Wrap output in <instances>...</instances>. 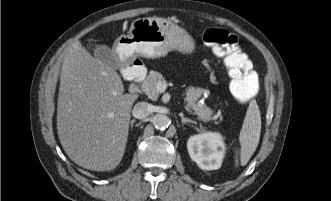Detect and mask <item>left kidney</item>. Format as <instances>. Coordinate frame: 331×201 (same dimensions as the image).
<instances>
[{
	"label": "left kidney",
	"instance_id": "1",
	"mask_svg": "<svg viewBox=\"0 0 331 201\" xmlns=\"http://www.w3.org/2000/svg\"><path fill=\"white\" fill-rule=\"evenodd\" d=\"M187 149L193 161L203 170L221 167L225 155V144L219 132H208L191 136Z\"/></svg>",
	"mask_w": 331,
	"mask_h": 201
}]
</instances>
